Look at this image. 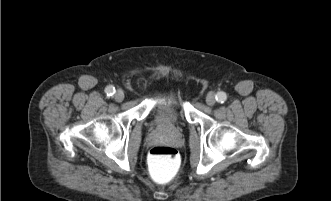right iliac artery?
Returning <instances> with one entry per match:
<instances>
[{
	"label": "right iliac artery",
	"instance_id": "obj_1",
	"mask_svg": "<svg viewBox=\"0 0 331 201\" xmlns=\"http://www.w3.org/2000/svg\"><path fill=\"white\" fill-rule=\"evenodd\" d=\"M105 93L107 96H112L115 93V88L113 86H107L105 88Z\"/></svg>",
	"mask_w": 331,
	"mask_h": 201
}]
</instances>
